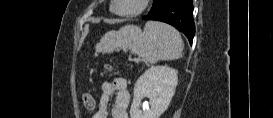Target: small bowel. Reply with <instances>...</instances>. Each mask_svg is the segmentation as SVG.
Instances as JSON below:
<instances>
[{
  "label": "small bowel",
  "mask_w": 273,
  "mask_h": 118,
  "mask_svg": "<svg viewBox=\"0 0 273 118\" xmlns=\"http://www.w3.org/2000/svg\"><path fill=\"white\" fill-rule=\"evenodd\" d=\"M101 90L102 92L97 107L96 102L91 95L95 104L94 109L96 108L93 118H107L111 100H113L111 110L112 118H128L127 110L130 103V93L126 80L119 77L115 78L113 81H104Z\"/></svg>",
  "instance_id": "1"
}]
</instances>
